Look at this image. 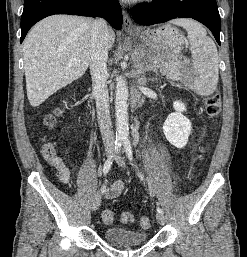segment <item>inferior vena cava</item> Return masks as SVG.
<instances>
[{"label": "inferior vena cava", "instance_id": "1", "mask_svg": "<svg viewBox=\"0 0 247 257\" xmlns=\"http://www.w3.org/2000/svg\"><path fill=\"white\" fill-rule=\"evenodd\" d=\"M109 27L104 19H96L91 28L92 53L90 72L92 77V95L96 100L97 118L104 146L112 148L115 138L109 112L107 88V59L109 49Z\"/></svg>", "mask_w": 247, "mask_h": 257}]
</instances>
